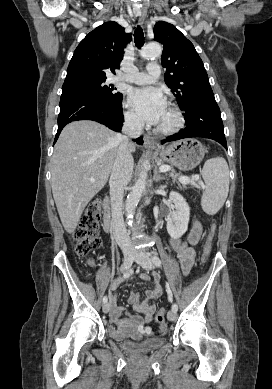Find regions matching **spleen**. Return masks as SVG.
Here are the masks:
<instances>
[{"mask_svg": "<svg viewBox=\"0 0 272 389\" xmlns=\"http://www.w3.org/2000/svg\"><path fill=\"white\" fill-rule=\"evenodd\" d=\"M202 177L205 191L201 197L204 212L214 215L223 206L229 192V169L222 157L212 158L204 164Z\"/></svg>", "mask_w": 272, "mask_h": 389, "instance_id": "spleen-1", "label": "spleen"}]
</instances>
